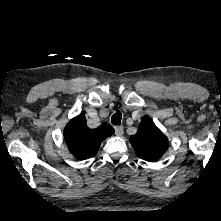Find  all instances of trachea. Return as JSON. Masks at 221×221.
<instances>
[{
	"mask_svg": "<svg viewBox=\"0 0 221 221\" xmlns=\"http://www.w3.org/2000/svg\"><path fill=\"white\" fill-rule=\"evenodd\" d=\"M122 119V114L120 111H116V113L111 118V123L114 125H120Z\"/></svg>",
	"mask_w": 221,
	"mask_h": 221,
	"instance_id": "obj_1",
	"label": "trachea"
}]
</instances>
